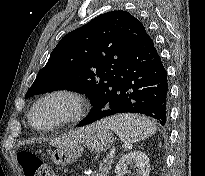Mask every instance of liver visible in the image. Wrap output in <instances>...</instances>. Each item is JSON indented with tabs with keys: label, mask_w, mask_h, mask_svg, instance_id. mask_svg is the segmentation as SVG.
<instances>
[{
	"label": "liver",
	"mask_w": 205,
	"mask_h": 176,
	"mask_svg": "<svg viewBox=\"0 0 205 176\" xmlns=\"http://www.w3.org/2000/svg\"><path fill=\"white\" fill-rule=\"evenodd\" d=\"M89 132H90L89 126L85 128L77 129L62 136L60 139L56 140L55 142H52V144L58 148H68L74 145H78L83 143L86 140V138L89 135Z\"/></svg>",
	"instance_id": "6515ba94"
}]
</instances>
